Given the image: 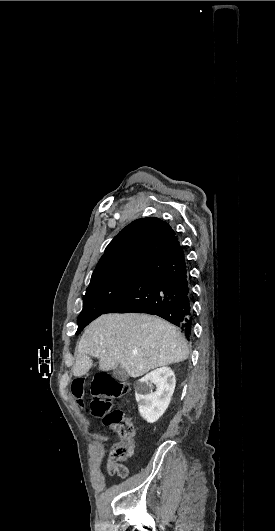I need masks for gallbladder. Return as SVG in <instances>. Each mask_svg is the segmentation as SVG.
<instances>
[{
	"mask_svg": "<svg viewBox=\"0 0 275 531\" xmlns=\"http://www.w3.org/2000/svg\"><path fill=\"white\" fill-rule=\"evenodd\" d=\"M112 375L114 379H117V381H123V383L128 379L127 371L122 369L121 365H117L116 369H113Z\"/></svg>",
	"mask_w": 275,
	"mask_h": 531,
	"instance_id": "gallbladder-1",
	"label": "gallbladder"
}]
</instances>
